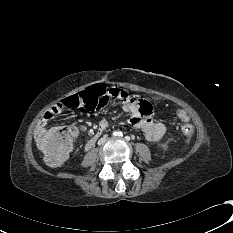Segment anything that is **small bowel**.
Masks as SVG:
<instances>
[{"instance_id": "obj_1", "label": "small bowel", "mask_w": 233, "mask_h": 233, "mask_svg": "<svg viewBox=\"0 0 233 233\" xmlns=\"http://www.w3.org/2000/svg\"><path fill=\"white\" fill-rule=\"evenodd\" d=\"M110 99L113 100L110 104L115 107L119 106L125 113H127L131 125L140 128L148 141L157 142L164 136L166 126L162 122L154 121L152 119V116L155 113V107L151 102L145 101L138 96H133L129 91L122 89L119 86H114L101 96L95 105V109L97 111L102 110ZM64 109L65 106L63 100L49 108L38 121L36 127L37 131L43 130L47 123L52 118L59 115ZM107 127L108 122L102 120L98 125V132L87 141L85 150H89L94 146ZM82 130L83 127H79V131Z\"/></svg>"}]
</instances>
